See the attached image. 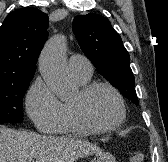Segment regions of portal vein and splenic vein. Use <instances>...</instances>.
Listing matches in <instances>:
<instances>
[{
    "label": "portal vein and splenic vein",
    "instance_id": "portal-vein-and-splenic-vein-1",
    "mask_svg": "<svg viewBox=\"0 0 168 162\" xmlns=\"http://www.w3.org/2000/svg\"><path fill=\"white\" fill-rule=\"evenodd\" d=\"M29 162H35L34 160H29Z\"/></svg>",
    "mask_w": 168,
    "mask_h": 162
}]
</instances>
